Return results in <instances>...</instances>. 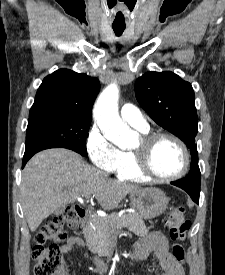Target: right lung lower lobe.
I'll use <instances>...</instances> for the list:
<instances>
[{
  "label": "right lung lower lobe",
  "instance_id": "1",
  "mask_svg": "<svg viewBox=\"0 0 225 275\" xmlns=\"http://www.w3.org/2000/svg\"><path fill=\"white\" fill-rule=\"evenodd\" d=\"M32 156H33V155H24L22 167L25 166V164L27 163V161H28Z\"/></svg>",
  "mask_w": 225,
  "mask_h": 275
}]
</instances>
